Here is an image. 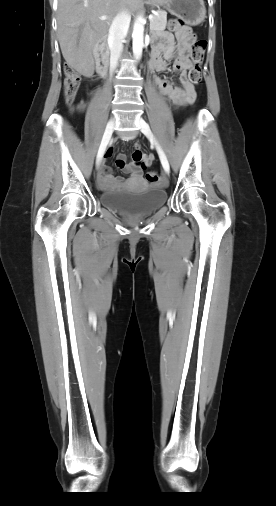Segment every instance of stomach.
Returning a JSON list of instances; mask_svg holds the SVG:
<instances>
[{
  "instance_id": "stomach-1",
  "label": "stomach",
  "mask_w": 276,
  "mask_h": 506,
  "mask_svg": "<svg viewBox=\"0 0 276 506\" xmlns=\"http://www.w3.org/2000/svg\"><path fill=\"white\" fill-rule=\"evenodd\" d=\"M166 9L190 25H198L206 17L203 0H168Z\"/></svg>"
}]
</instances>
